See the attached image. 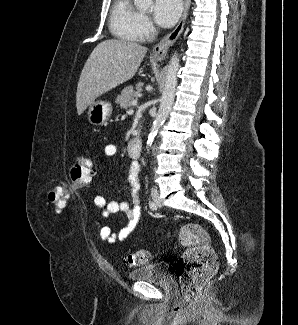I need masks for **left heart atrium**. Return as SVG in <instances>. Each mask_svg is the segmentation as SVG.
<instances>
[{
	"instance_id": "obj_1",
	"label": "left heart atrium",
	"mask_w": 298,
	"mask_h": 325,
	"mask_svg": "<svg viewBox=\"0 0 298 325\" xmlns=\"http://www.w3.org/2000/svg\"><path fill=\"white\" fill-rule=\"evenodd\" d=\"M182 12L181 0H155L153 6V19L162 28L173 26Z\"/></svg>"
}]
</instances>
